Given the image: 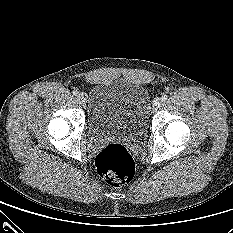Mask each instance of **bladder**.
<instances>
[{
	"label": "bladder",
	"mask_w": 233,
	"mask_h": 233,
	"mask_svg": "<svg viewBox=\"0 0 233 233\" xmlns=\"http://www.w3.org/2000/svg\"><path fill=\"white\" fill-rule=\"evenodd\" d=\"M88 128L92 137H143L150 123L146 88L123 78L96 83L88 97Z\"/></svg>",
	"instance_id": "obj_1"
}]
</instances>
